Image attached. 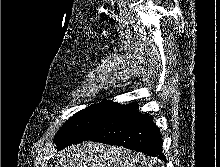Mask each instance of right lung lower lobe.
I'll return each instance as SVG.
<instances>
[{
	"mask_svg": "<svg viewBox=\"0 0 220 167\" xmlns=\"http://www.w3.org/2000/svg\"><path fill=\"white\" fill-rule=\"evenodd\" d=\"M123 146L166 161L162 139L152 117L140 114L137 104L114 103L101 123L84 141Z\"/></svg>",
	"mask_w": 220,
	"mask_h": 167,
	"instance_id": "right-lung-lower-lobe-1",
	"label": "right lung lower lobe"
}]
</instances>
